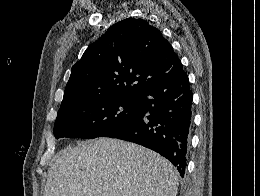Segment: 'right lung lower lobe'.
<instances>
[{
	"label": "right lung lower lobe",
	"instance_id": "98d812e1",
	"mask_svg": "<svg viewBox=\"0 0 260 196\" xmlns=\"http://www.w3.org/2000/svg\"><path fill=\"white\" fill-rule=\"evenodd\" d=\"M193 96L187 74L155 86L138 97L142 118L104 137L140 144L167 158L183 177L192 125Z\"/></svg>",
	"mask_w": 260,
	"mask_h": 196
}]
</instances>
